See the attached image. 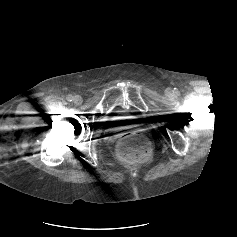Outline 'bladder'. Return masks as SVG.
Returning <instances> with one entry per match:
<instances>
[{
  "instance_id": "1",
  "label": "bladder",
  "mask_w": 237,
  "mask_h": 237,
  "mask_svg": "<svg viewBox=\"0 0 237 237\" xmlns=\"http://www.w3.org/2000/svg\"><path fill=\"white\" fill-rule=\"evenodd\" d=\"M138 123L136 116L128 114H114L106 122L107 129L135 126Z\"/></svg>"
}]
</instances>
